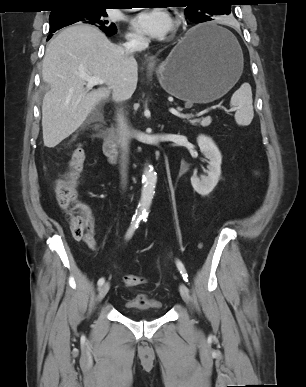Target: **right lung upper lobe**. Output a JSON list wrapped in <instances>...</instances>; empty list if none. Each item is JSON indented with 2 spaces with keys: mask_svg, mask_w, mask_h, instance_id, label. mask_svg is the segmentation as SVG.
<instances>
[{
  "mask_svg": "<svg viewBox=\"0 0 306 387\" xmlns=\"http://www.w3.org/2000/svg\"><path fill=\"white\" fill-rule=\"evenodd\" d=\"M110 0H56L57 9L53 10V12L59 11L61 8L72 7V6H108L110 4Z\"/></svg>",
  "mask_w": 306,
  "mask_h": 387,
  "instance_id": "right-lung-upper-lobe-1",
  "label": "right lung upper lobe"
}]
</instances>
